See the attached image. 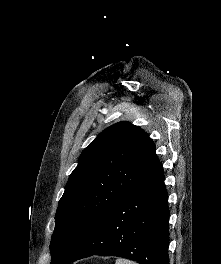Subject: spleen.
Returning <instances> with one entry per match:
<instances>
[{"label":"spleen","instance_id":"obj_1","mask_svg":"<svg viewBox=\"0 0 221 264\" xmlns=\"http://www.w3.org/2000/svg\"><path fill=\"white\" fill-rule=\"evenodd\" d=\"M115 264H137V263L127 260V259L118 258Z\"/></svg>","mask_w":221,"mask_h":264}]
</instances>
